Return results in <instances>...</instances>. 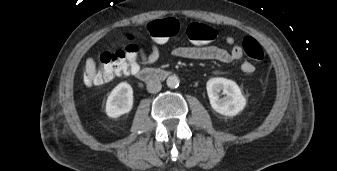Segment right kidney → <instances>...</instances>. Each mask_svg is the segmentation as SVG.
I'll list each match as a JSON object with an SVG mask.
<instances>
[{
	"instance_id": "right-kidney-1",
	"label": "right kidney",
	"mask_w": 337,
	"mask_h": 171,
	"mask_svg": "<svg viewBox=\"0 0 337 171\" xmlns=\"http://www.w3.org/2000/svg\"><path fill=\"white\" fill-rule=\"evenodd\" d=\"M133 107V90L127 82H121L110 93L106 102V114L117 118Z\"/></svg>"
}]
</instances>
